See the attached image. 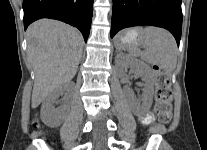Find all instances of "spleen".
<instances>
[{"label": "spleen", "mask_w": 207, "mask_h": 150, "mask_svg": "<svg viewBox=\"0 0 207 150\" xmlns=\"http://www.w3.org/2000/svg\"><path fill=\"white\" fill-rule=\"evenodd\" d=\"M141 34L144 50L141 51L137 45L130 46L127 49L130 56H139L165 72L172 73L177 64V44L172 34L158 27H147Z\"/></svg>", "instance_id": "spleen-1"}]
</instances>
